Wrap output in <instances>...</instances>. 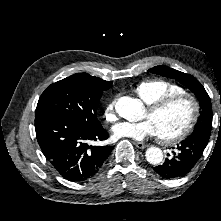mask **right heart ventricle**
Wrapping results in <instances>:
<instances>
[{
	"label": "right heart ventricle",
	"mask_w": 221,
	"mask_h": 221,
	"mask_svg": "<svg viewBox=\"0 0 221 221\" xmlns=\"http://www.w3.org/2000/svg\"><path fill=\"white\" fill-rule=\"evenodd\" d=\"M135 92L144 102L152 104L162 97L183 93L184 90L170 81L151 79L138 83L135 87Z\"/></svg>",
	"instance_id": "1"
}]
</instances>
